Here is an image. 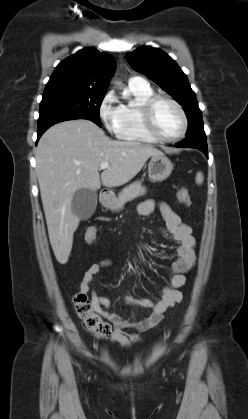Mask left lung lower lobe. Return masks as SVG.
Here are the masks:
<instances>
[{
    "label": "left lung lower lobe",
    "mask_w": 248,
    "mask_h": 419,
    "mask_svg": "<svg viewBox=\"0 0 248 419\" xmlns=\"http://www.w3.org/2000/svg\"><path fill=\"white\" fill-rule=\"evenodd\" d=\"M178 148L191 147L201 150L208 157L206 136L204 134H194L175 145Z\"/></svg>",
    "instance_id": "obj_1"
}]
</instances>
